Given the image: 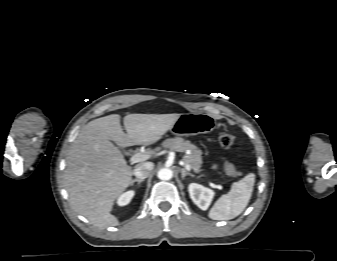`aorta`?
Returning a JSON list of instances; mask_svg holds the SVG:
<instances>
[{
    "mask_svg": "<svg viewBox=\"0 0 337 261\" xmlns=\"http://www.w3.org/2000/svg\"><path fill=\"white\" fill-rule=\"evenodd\" d=\"M157 176L161 180H170L173 177V172L168 168H163L158 171Z\"/></svg>",
    "mask_w": 337,
    "mask_h": 261,
    "instance_id": "1",
    "label": "aorta"
}]
</instances>
